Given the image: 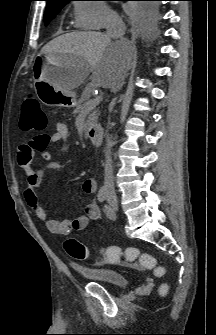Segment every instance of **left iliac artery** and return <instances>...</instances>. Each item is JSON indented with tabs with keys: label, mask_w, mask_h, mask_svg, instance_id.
I'll use <instances>...</instances> for the list:
<instances>
[{
	"label": "left iliac artery",
	"mask_w": 216,
	"mask_h": 335,
	"mask_svg": "<svg viewBox=\"0 0 216 335\" xmlns=\"http://www.w3.org/2000/svg\"><path fill=\"white\" fill-rule=\"evenodd\" d=\"M104 212L106 213V215H107L109 218H111V216H112V209H111L110 206L105 205V206H104Z\"/></svg>",
	"instance_id": "obj_1"
}]
</instances>
